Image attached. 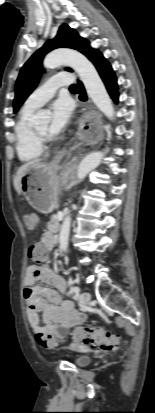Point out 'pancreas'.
I'll list each match as a JSON object with an SVG mask.
<instances>
[{"label":"pancreas","instance_id":"cf45deb5","mask_svg":"<svg viewBox=\"0 0 155 413\" xmlns=\"http://www.w3.org/2000/svg\"><path fill=\"white\" fill-rule=\"evenodd\" d=\"M49 228L53 231V232H57L58 227H59V219L57 216L53 215L51 216V220L49 222Z\"/></svg>","mask_w":155,"mask_h":413}]
</instances>
